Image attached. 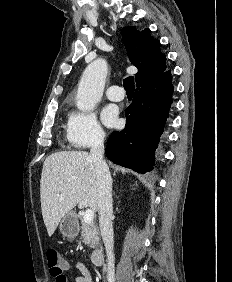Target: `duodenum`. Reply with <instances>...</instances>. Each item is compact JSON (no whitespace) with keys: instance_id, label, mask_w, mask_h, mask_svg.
Returning a JSON list of instances; mask_svg holds the SVG:
<instances>
[{"instance_id":"1","label":"duodenum","mask_w":232,"mask_h":282,"mask_svg":"<svg viewBox=\"0 0 232 282\" xmlns=\"http://www.w3.org/2000/svg\"><path fill=\"white\" fill-rule=\"evenodd\" d=\"M104 260L103 250L101 248H95L91 253V261L97 265H102Z\"/></svg>"}]
</instances>
